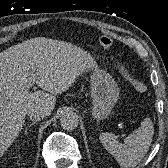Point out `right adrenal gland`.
I'll return each instance as SVG.
<instances>
[{
    "mask_svg": "<svg viewBox=\"0 0 168 168\" xmlns=\"http://www.w3.org/2000/svg\"><path fill=\"white\" fill-rule=\"evenodd\" d=\"M35 123H36V122L33 121V122L30 123L27 127H25V130H24L25 134H27L28 128H30L31 126H33Z\"/></svg>",
    "mask_w": 168,
    "mask_h": 168,
    "instance_id": "1",
    "label": "right adrenal gland"
}]
</instances>
